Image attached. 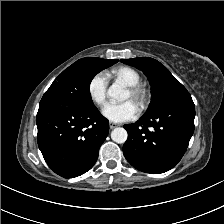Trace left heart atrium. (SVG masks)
Instances as JSON below:
<instances>
[{
	"label": "left heart atrium",
	"instance_id": "obj_1",
	"mask_svg": "<svg viewBox=\"0 0 224 224\" xmlns=\"http://www.w3.org/2000/svg\"><path fill=\"white\" fill-rule=\"evenodd\" d=\"M102 114L111 122L121 123L135 119L138 109L132 100H127L121 103L107 104L103 108Z\"/></svg>",
	"mask_w": 224,
	"mask_h": 224
}]
</instances>
